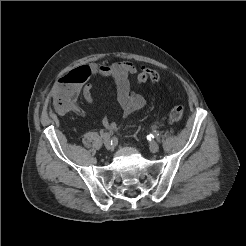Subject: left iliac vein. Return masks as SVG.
Wrapping results in <instances>:
<instances>
[{"label":"left iliac vein","instance_id":"obj_1","mask_svg":"<svg viewBox=\"0 0 246 246\" xmlns=\"http://www.w3.org/2000/svg\"><path fill=\"white\" fill-rule=\"evenodd\" d=\"M149 149L151 152L155 153L159 150V145L157 142H151L149 145Z\"/></svg>","mask_w":246,"mask_h":246}]
</instances>
